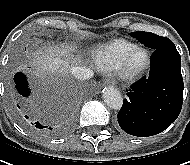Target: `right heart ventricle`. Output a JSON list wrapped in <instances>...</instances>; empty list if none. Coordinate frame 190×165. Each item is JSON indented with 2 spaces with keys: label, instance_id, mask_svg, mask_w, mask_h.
Segmentation results:
<instances>
[{
  "label": "right heart ventricle",
  "instance_id": "e07e8e85",
  "mask_svg": "<svg viewBox=\"0 0 190 165\" xmlns=\"http://www.w3.org/2000/svg\"><path fill=\"white\" fill-rule=\"evenodd\" d=\"M136 47L137 44L125 39L112 40L93 51V63L100 71L117 70L126 54Z\"/></svg>",
  "mask_w": 190,
  "mask_h": 165
}]
</instances>
